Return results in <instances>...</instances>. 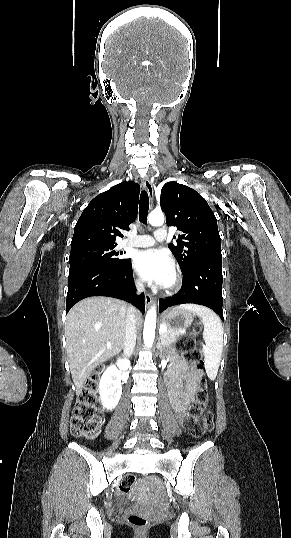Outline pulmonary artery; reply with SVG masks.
<instances>
[{
  "mask_svg": "<svg viewBox=\"0 0 291 538\" xmlns=\"http://www.w3.org/2000/svg\"><path fill=\"white\" fill-rule=\"evenodd\" d=\"M167 237V231L164 228H159L155 231L154 237L149 235H140L136 236L134 238L125 240L123 242L124 246H131V247H151L156 242L164 241Z\"/></svg>",
  "mask_w": 291,
  "mask_h": 538,
  "instance_id": "obj_1",
  "label": "pulmonary artery"
}]
</instances>
